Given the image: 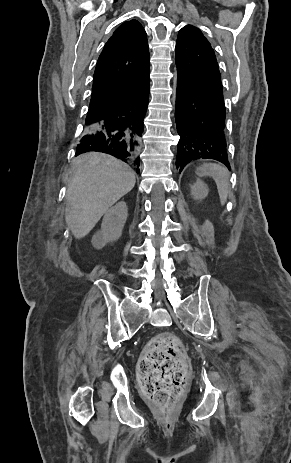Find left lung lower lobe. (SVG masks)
I'll return each mask as SVG.
<instances>
[{"label": "left lung lower lobe", "mask_w": 291, "mask_h": 463, "mask_svg": "<svg viewBox=\"0 0 291 463\" xmlns=\"http://www.w3.org/2000/svg\"><path fill=\"white\" fill-rule=\"evenodd\" d=\"M175 121L180 172L197 159H214L230 169L223 95L178 76Z\"/></svg>", "instance_id": "0a47b994"}]
</instances>
